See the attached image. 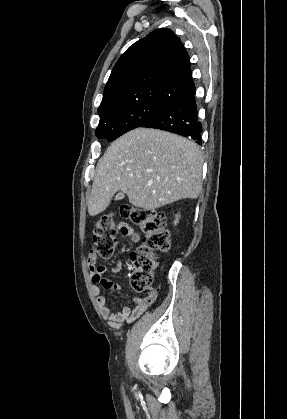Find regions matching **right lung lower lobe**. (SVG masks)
Returning <instances> with one entry per match:
<instances>
[{
	"instance_id": "right-lung-lower-lobe-1",
	"label": "right lung lower lobe",
	"mask_w": 287,
	"mask_h": 419,
	"mask_svg": "<svg viewBox=\"0 0 287 419\" xmlns=\"http://www.w3.org/2000/svg\"><path fill=\"white\" fill-rule=\"evenodd\" d=\"M195 90L169 101L160 111L139 127L156 128L201 141L202 127L198 121Z\"/></svg>"
}]
</instances>
